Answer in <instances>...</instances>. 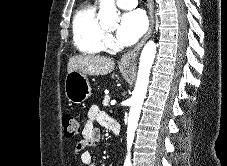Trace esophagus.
I'll use <instances>...</instances> for the list:
<instances>
[{
  "label": "esophagus",
  "mask_w": 227,
  "mask_h": 166,
  "mask_svg": "<svg viewBox=\"0 0 227 166\" xmlns=\"http://www.w3.org/2000/svg\"><path fill=\"white\" fill-rule=\"evenodd\" d=\"M148 1V11H149V28L144 35V37L141 39V41L129 52L125 53L120 60V63L122 65H129L133 64L143 45L148 40V38L151 36L153 29H154V6H153V0H147Z\"/></svg>",
  "instance_id": "obj_1"
}]
</instances>
